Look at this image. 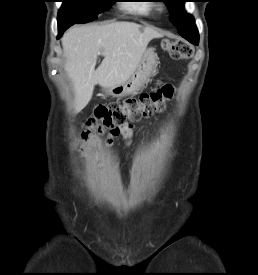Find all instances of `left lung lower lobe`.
Segmentation results:
<instances>
[{
    "label": "left lung lower lobe",
    "mask_w": 258,
    "mask_h": 275,
    "mask_svg": "<svg viewBox=\"0 0 258 275\" xmlns=\"http://www.w3.org/2000/svg\"><path fill=\"white\" fill-rule=\"evenodd\" d=\"M180 35L194 45L199 43V34L196 27L190 28L186 32L180 33Z\"/></svg>",
    "instance_id": "1"
}]
</instances>
